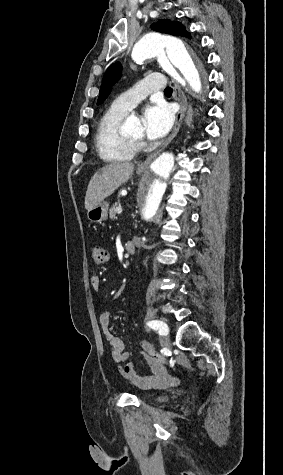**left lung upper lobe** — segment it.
I'll return each mask as SVG.
<instances>
[{
    "label": "left lung upper lobe",
    "instance_id": "left-lung-upper-lobe-1",
    "mask_svg": "<svg viewBox=\"0 0 283 475\" xmlns=\"http://www.w3.org/2000/svg\"><path fill=\"white\" fill-rule=\"evenodd\" d=\"M151 28L155 31L171 34L175 36H189V33L185 31V27L180 22L170 21L168 19L159 20L157 23H153ZM122 67L120 63H114L107 69L102 79V85L100 88V94L97 104H101L108 97L112 90V86L119 80Z\"/></svg>",
    "mask_w": 283,
    "mask_h": 475
}]
</instances>
